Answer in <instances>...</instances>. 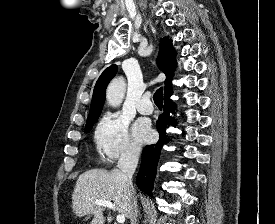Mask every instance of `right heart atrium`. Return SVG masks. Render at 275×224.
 <instances>
[{
	"label": "right heart atrium",
	"instance_id": "obj_1",
	"mask_svg": "<svg viewBox=\"0 0 275 224\" xmlns=\"http://www.w3.org/2000/svg\"><path fill=\"white\" fill-rule=\"evenodd\" d=\"M94 141L100 156L107 162L134 159L140 153L129 132L127 118L119 113H107L98 122Z\"/></svg>",
	"mask_w": 275,
	"mask_h": 224
}]
</instances>
